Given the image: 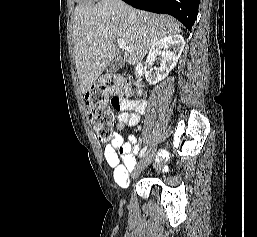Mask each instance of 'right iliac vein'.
<instances>
[{
  "label": "right iliac vein",
  "instance_id": "63e3f726",
  "mask_svg": "<svg viewBox=\"0 0 257 237\" xmlns=\"http://www.w3.org/2000/svg\"><path fill=\"white\" fill-rule=\"evenodd\" d=\"M153 150V149H152ZM148 151L143 157L142 159L139 161L136 169L134 170V172L132 173V177L135 178L139 172L143 171L151 162L152 160V156H151V151Z\"/></svg>",
  "mask_w": 257,
  "mask_h": 237
}]
</instances>
